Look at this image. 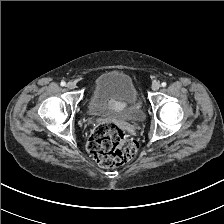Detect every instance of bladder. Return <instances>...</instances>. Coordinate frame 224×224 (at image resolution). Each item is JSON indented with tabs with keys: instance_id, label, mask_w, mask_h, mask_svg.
Instances as JSON below:
<instances>
[{
	"instance_id": "31cf9c89",
	"label": "bladder",
	"mask_w": 224,
	"mask_h": 224,
	"mask_svg": "<svg viewBox=\"0 0 224 224\" xmlns=\"http://www.w3.org/2000/svg\"><path fill=\"white\" fill-rule=\"evenodd\" d=\"M86 108L92 115L124 113L137 122L145 116L132 78L116 70L106 71L97 77L87 97Z\"/></svg>"
}]
</instances>
